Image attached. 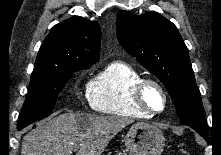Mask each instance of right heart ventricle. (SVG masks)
Here are the masks:
<instances>
[{"label": "right heart ventricle", "instance_id": "right-heart-ventricle-1", "mask_svg": "<svg viewBox=\"0 0 221 155\" xmlns=\"http://www.w3.org/2000/svg\"><path fill=\"white\" fill-rule=\"evenodd\" d=\"M141 74L130 64L115 61L103 68L89 83L87 100L99 113L131 118H148L133 100V89Z\"/></svg>", "mask_w": 221, "mask_h": 155}]
</instances>
